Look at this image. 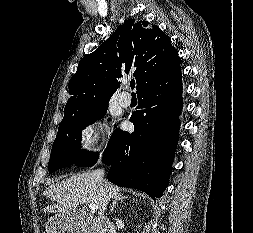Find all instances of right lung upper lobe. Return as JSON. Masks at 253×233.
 <instances>
[{
    "label": "right lung upper lobe",
    "instance_id": "cb5924a9",
    "mask_svg": "<svg viewBox=\"0 0 253 233\" xmlns=\"http://www.w3.org/2000/svg\"><path fill=\"white\" fill-rule=\"evenodd\" d=\"M179 63L171 39L158 26L144 20H126L109 39L80 60L69 82L72 96L64 108V118L108 102L120 86L119 79L130 71L138 92L148 81L170 72Z\"/></svg>",
    "mask_w": 253,
    "mask_h": 233
}]
</instances>
